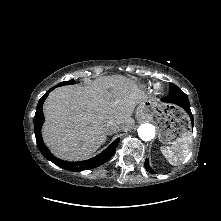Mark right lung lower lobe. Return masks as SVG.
Masks as SVG:
<instances>
[{
    "label": "right lung lower lobe",
    "mask_w": 221,
    "mask_h": 221,
    "mask_svg": "<svg viewBox=\"0 0 221 221\" xmlns=\"http://www.w3.org/2000/svg\"><path fill=\"white\" fill-rule=\"evenodd\" d=\"M54 88L55 87L51 88L49 91L46 92V94L39 100L37 108H36V113L34 117V133L36 136V142H37L39 151L46 159L50 160L57 166L66 170H70V171L88 170V169H92V168H95L104 164L114 154L116 146L119 142V138L116 139L109 147H107L99 155L91 159L80 161V162H67V161L60 160L56 158L44 144L42 140V135H41V126L44 122L43 103L45 99L47 98L49 92L52 91Z\"/></svg>",
    "instance_id": "1"
}]
</instances>
